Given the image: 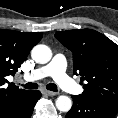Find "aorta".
Returning a JSON list of instances; mask_svg holds the SVG:
<instances>
[{"mask_svg":"<svg viewBox=\"0 0 118 118\" xmlns=\"http://www.w3.org/2000/svg\"><path fill=\"white\" fill-rule=\"evenodd\" d=\"M32 59L39 64H46L51 60V49L43 44L36 45L31 51ZM56 107L61 112H68L72 107V101L68 96L61 95L55 101Z\"/></svg>","mask_w":118,"mask_h":118,"instance_id":"762f6f07","label":"aorta"}]
</instances>
